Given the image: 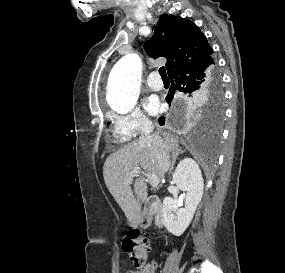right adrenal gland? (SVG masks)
<instances>
[{"instance_id":"right-adrenal-gland-1","label":"right adrenal gland","mask_w":285,"mask_h":273,"mask_svg":"<svg viewBox=\"0 0 285 273\" xmlns=\"http://www.w3.org/2000/svg\"><path fill=\"white\" fill-rule=\"evenodd\" d=\"M185 152V150H182V149H177L175 151L172 152V163H171V167H170V171H169V174L172 173L173 169H174V165H175V162L178 158V156L180 154H183Z\"/></svg>"}]
</instances>
